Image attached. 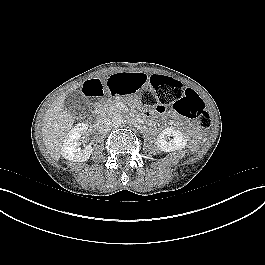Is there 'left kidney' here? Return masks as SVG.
<instances>
[{"label": "left kidney", "instance_id": "obj_1", "mask_svg": "<svg viewBox=\"0 0 265 265\" xmlns=\"http://www.w3.org/2000/svg\"><path fill=\"white\" fill-rule=\"evenodd\" d=\"M170 136H173L172 140H167ZM187 144L186 137L174 128H165L158 136L156 140L157 147L164 152H172L175 150H181L185 148Z\"/></svg>", "mask_w": 265, "mask_h": 265}]
</instances>
